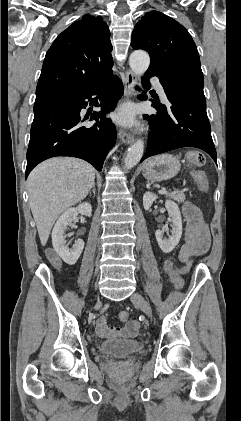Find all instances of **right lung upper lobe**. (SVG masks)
Wrapping results in <instances>:
<instances>
[{
	"label": "right lung upper lobe",
	"mask_w": 241,
	"mask_h": 421,
	"mask_svg": "<svg viewBox=\"0 0 241 421\" xmlns=\"http://www.w3.org/2000/svg\"><path fill=\"white\" fill-rule=\"evenodd\" d=\"M109 27L89 14L63 31L47 51L36 99L51 93L88 87L112 71Z\"/></svg>",
	"instance_id": "obj_1"
}]
</instances>
